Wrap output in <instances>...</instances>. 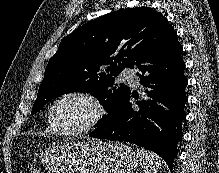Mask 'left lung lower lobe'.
I'll list each match as a JSON object with an SVG mask.
<instances>
[{"label": "left lung lower lobe", "instance_id": "0a47b994", "mask_svg": "<svg viewBox=\"0 0 219 173\" xmlns=\"http://www.w3.org/2000/svg\"><path fill=\"white\" fill-rule=\"evenodd\" d=\"M183 48L173 31L136 62L140 83L148 99L129 102L131 91L118 103L109 119L90 137L127 141L160 155L172 171L187 102ZM132 97H135L132 93Z\"/></svg>", "mask_w": 219, "mask_h": 173}]
</instances>
